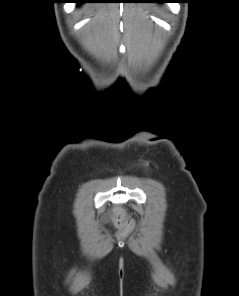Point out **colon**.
<instances>
[{
  "label": "colon",
  "instance_id": "obj_1",
  "mask_svg": "<svg viewBox=\"0 0 239 296\" xmlns=\"http://www.w3.org/2000/svg\"><path fill=\"white\" fill-rule=\"evenodd\" d=\"M112 218L114 223L123 229H132V220L128 217L126 212L120 208H114L112 211Z\"/></svg>",
  "mask_w": 239,
  "mask_h": 296
}]
</instances>
